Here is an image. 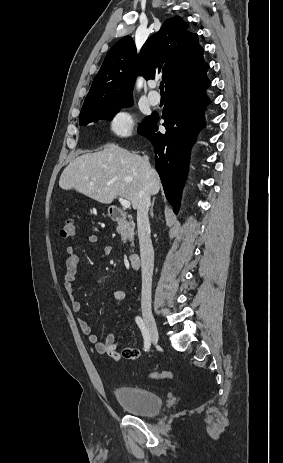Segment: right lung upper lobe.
<instances>
[{"mask_svg":"<svg viewBox=\"0 0 283 463\" xmlns=\"http://www.w3.org/2000/svg\"><path fill=\"white\" fill-rule=\"evenodd\" d=\"M209 65L197 34L188 31L181 17L167 19L143 45L139 55L130 36L119 40L107 53L84 104L132 97L135 77L153 79L162 74L165 89L192 83L206 75Z\"/></svg>","mask_w":283,"mask_h":463,"instance_id":"obj_1","label":"right lung upper lobe"}]
</instances>
